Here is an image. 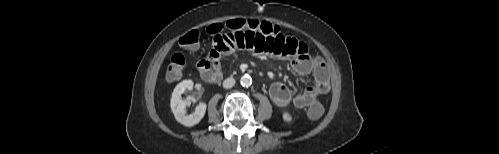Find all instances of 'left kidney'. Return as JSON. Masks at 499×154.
<instances>
[{"instance_id":"left-kidney-1","label":"left kidney","mask_w":499,"mask_h":154,"mask_svg":"<svg viewBox=\"0 0 499 154\" xmlns=\"http://www.w3.org/2000/svg\"><path fill=\"white\" fill-rule=\"evenodd\" d=\"M282 117H283V120H284L285 122L290 123V122L292 121V116H291L288 112H286V111H285V112H283Z\"/></svg>"}]
</instances>
